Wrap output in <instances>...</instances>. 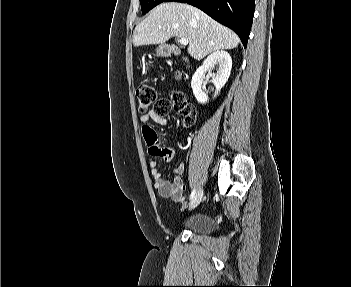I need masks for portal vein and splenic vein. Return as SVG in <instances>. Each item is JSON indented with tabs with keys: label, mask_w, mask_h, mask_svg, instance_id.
Returning a JSON list of instances; mask_svg holds the SVG:
<instances>
[{
	"label": "portal vein and splenic vein",
	"mask_w": 351,
	"mask_h": 287,
	"mask_svg": "<svg viewBox=\"0 0 351 287\" xmlns=\"http://www.w3.org/2000/svg\"><path fill=\"white\" fill-rule=\"evenodd\" d=\"M179 42L181 45H184V46L188 45L189 43L188 39L186 38H180Z\"/></svg>",
	"instance_id": "portal-vein-and-splenic-vein-1"
}]
</instances>
